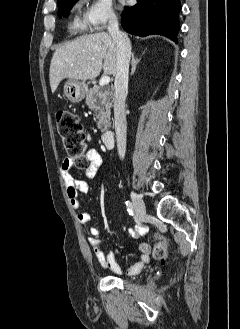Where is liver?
<instances>
[{
  "instance_id": "6515ba94",
  "label": "liver",
  "mask_w": 240,
  "mask_h": 329,
  "mask_svg": "<svg viewBox=\"0 0 240 329\" xmlns=\"http://www.w3.org/2000/svg\"><path fill=\"white\" fill-rule=\"evenodd\" d=\"M116 43L106 32L79 37L56 49L53 54L49 80L54 93L65 79L86 81L105 74L116 73Z\"/></svg>"
}]
</instances>
